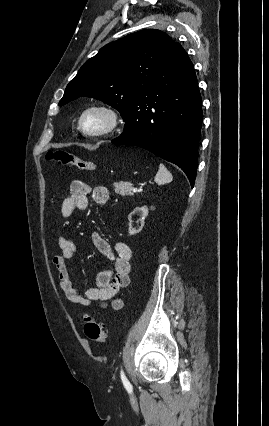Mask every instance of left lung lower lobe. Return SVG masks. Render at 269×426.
Masks as SVG:
<instances>
[{
	"label": "left lung lower lobe",
	"instance_id": "obj_1",
	"mask_svg": "<svg viewBox=\"0 0 269 426\" xmlns=\"http://www.w3.org/2000/svg\"><path fill=\"white\" fill-rule=\"evenodd\" d=\"M203 119L194 67L179 43L136 97L124 118L123 133L112 143L142 147L178 165L194 186Z\"/></svg>",
	"mask_w": 269,
	"mask_h": 426
}]
</instances>
